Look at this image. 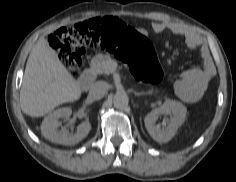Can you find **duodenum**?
Listing matches in <instances>:
<instances>
[{
  "mask_svg": "<svg viewBox=\"0 0 236 182\" xmlns=\"http://www.w3.org/2000/svg\"><path fill=\"white\" fill-rule=\"evenodd\" d=\"M94 79L95 76L93 72L90 70L86 71L79 83L80 89L83 91H87L92 86Z\"/></svg>",
  "mask_w": 236,
  "mask_h": 182,
  "instance_id": "1",
  "label": "duodenum"
}]
</instances>
